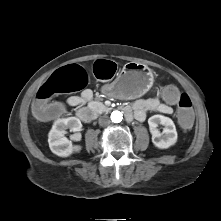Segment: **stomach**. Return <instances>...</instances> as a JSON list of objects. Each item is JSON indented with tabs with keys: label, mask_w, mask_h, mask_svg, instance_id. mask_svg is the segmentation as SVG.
<instances>
[{
	"label": "stomach",
	"mask_w": 221,
	"mask_h": 221,
	"mask_svg": "<svg viewBox=\"0 0 221 221\" xmlns=\"http://www.w3.org/2000/svg\"><path fill=\"white\" fill-rule=\"evenodd\" d=\"M154 83L153 71L144 64L129 62L110 84L111 95L133 99L147 92Z\"/></svg>",
	"instance_id": "0dacf381"
}]
</instances>
